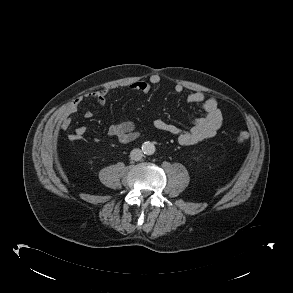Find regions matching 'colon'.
Returning <instances> with one entry per match:
<instances>
[{
    "instance_id": "obj_1",
    "label": "colon",
    "mask_w": 293,
    "mask_h": 293,
    "mask_svg": "<svg viewBox=\"0 0 293 293\" xmlns=\"http://www.w3.org/2000/svg\"><path fill=\"white\" fill-rule=\"evenodd\" d=\"M249 138V133L247 131H241L237 137H236V141L238 143H243L245 142L247 139Z\"/></svg>"
}]
</instances>
